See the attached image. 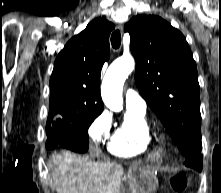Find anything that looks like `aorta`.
Here are the masks:
<instances>
[{"mask_svg": "<svg viewBox=\"0 0 221 193\" xmlns=\"http://www.w3.org/2000/svg\"><path fill=\"white\" fill-rule=\"evenodd\" d=\"M134 67L135 61L131 56H122L109 66L102 82L101 95L110 110L120 112L123 109V85Z\"/></svg>", "mask_w": 221, "mask_h": 193, "instance_id": "aorta-1", "label": "aorta"}]
</instances>
